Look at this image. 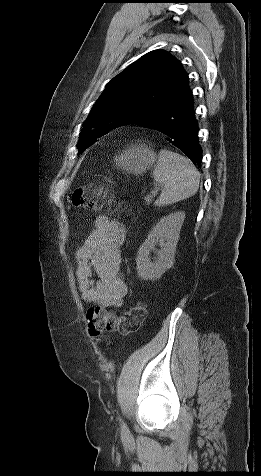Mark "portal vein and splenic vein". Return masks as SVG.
Returning a JSON list of instances; mask_svg holds the SVG:
<instances>
[{
	"mask_svg": "<svg viewBox=\"0 0 261 476\" xmlns=\"http://www.w3.org/2000/svg\"><path fill=\"white\" fill-rule=\"evenodd\" d=\"M153 195L156 196V195H157V191H154V192H153Z\"/></svg>",
	"mask_w": 261,
	"mask_h": 476,
	"instance_id": "obj_1",
	"label": "portal vein and splenic vein"
}]
</instances>
